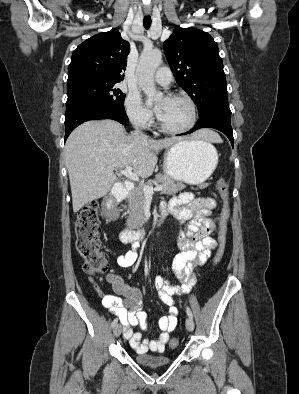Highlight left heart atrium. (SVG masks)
Listing matches in <instances>:
<instances>
[{
    "label": "left heart atrium",
    "mask_w": 299,
    "mask_h": 394,
    "mask_svg": "<svg viewBox=\"0 0 299 394\" xmlns=\"http://www.w3.org/2000/svg\"><path fill=\"white\" fill-rule=\"evenodd\" d=\"M162 109H163V105H162V104H161V105H157V106L155 107V111H156V113L158 114V116H159V114L161 113Z\"/></svg>",
    "instance_id": "39dd6f15"
}]
</instances>
